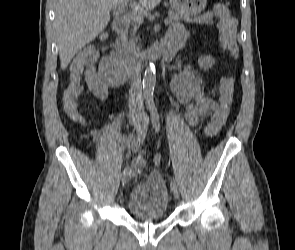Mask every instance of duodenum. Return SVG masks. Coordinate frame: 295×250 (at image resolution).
I'll return each instance as SVG.
<instances>
[{"instance_id": "410a0bca", "label": "duodenum", "mask_w": 295, "mask_h": 250, "mask_svg": "<svg viewBox=\"0 0 295 250\" xmlns=\"http://www.w3.org/2000/svg\"><path fill=\"white\" fill-rule=\"evenodd\" d=\"M113 30L117 35L114 48L117 57L113 59L114 75L117 81H123L141 71L149 62L163 56L158 48L150 50L140 58L134 57L127 49L126 33L130 25L129 18L121 15L114 19Z\"/></svg>"}]
</instances>
